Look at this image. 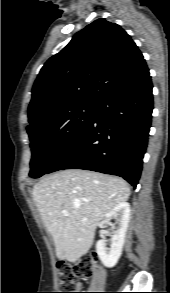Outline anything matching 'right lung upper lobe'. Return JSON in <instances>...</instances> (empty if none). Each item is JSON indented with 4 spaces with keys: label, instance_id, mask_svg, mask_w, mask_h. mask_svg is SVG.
Listing matches in <instances>:
<instances>
[{
    "label": "right lung upper lobe",
    "instance_id": "cb5924a9",
    "mask_svg": "<svg viewBox=\"0 0 170 293\" xmlns=\"http://www.w3.org/2000/svg\"><path fill=\"white\" fill-rule=\"evenodd\" d=\"M146 70L142 53L119 25L95 20L42 67L32 90L27 129L76 106L98 105Z\"/></svg>",
    "mask_w": 170,
    "mask_h": 293
}]
</instances>
